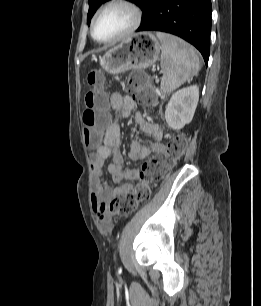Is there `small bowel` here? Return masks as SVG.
Instances as JSON below:
<instances>
[{
  "mask_svg": "<svg viewBox=\"0 0 261 306\" xmlns=\"http://www.w3.org/2000/svg\"><path fill=\"white\" fill-rule=\"evenodd\" d=\"M110 104L113 109L119 110L124 117L132 118L143 134L153 138V142L149 145H144L136 139L132 140L129 151V158L132 161L143 160L151 153L163 149L161 142L163 134L160 127L145 120L140 113L134 112L135 103L130 96L115 91L110 95ZM120 143V126L118 123H112L105 131L103 144L89 156L92 178L91 206L97 223L104 230L111 229L108 210L109 202L115 196L132 190V182L138 178V170L136 168L123 167L124 160L120 150ZM108 159L112 160L108 164L107 170L116 184L115 187H112L103 178L102 167ZM124 180L128 182L122 184L121 182Z\"/></svg>",
  "mask_w": 261,
  "mask_h": 306,
  "instance_id": "c3829d8e",
  "label": "small bowel"
}]
</instances>
